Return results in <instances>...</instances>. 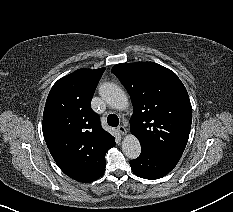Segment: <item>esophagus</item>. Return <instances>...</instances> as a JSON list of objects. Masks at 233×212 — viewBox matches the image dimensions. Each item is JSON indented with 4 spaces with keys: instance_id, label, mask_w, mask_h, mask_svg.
I'll use <instances>...</instances> for the list:
<instances>
[{
    "instance_id": "34e87169",
    "label": "esophagus",
    "mask_w": 233,
    "mask_h": 212,
    "mask_svg": "<svg viewBox=\"0 0 233 212\" xmlns=\"http://www.w3.org/2000/svg\"><path fill=\"white\" fill-rule=\"evenodd\" d=\"M117 130L121 135H126L127 134V129L122 125L118 126Z\"/></svg>"
}]
</instances>
